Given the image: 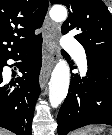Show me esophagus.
<instances>
[{
    "label": "esophagus",
    "instance_id": "1",
    "mask_svg": "<svg viewBox=\"0 0 112 135\" xmlns=\"http://www.w3.org/2000/svg\"><path fill=\"white\" fill-rule=\"evenodd\" d=\"M43 30L45 34V43L43 48L42 67L39 77L41 88H43L45 83L48 81L59 53V48L56 42L58 26L50 20L48 15H46L45 18Z\"/></svg>",
    "mask_w": 112,
    "mask_h": 135
}]
</instances>
